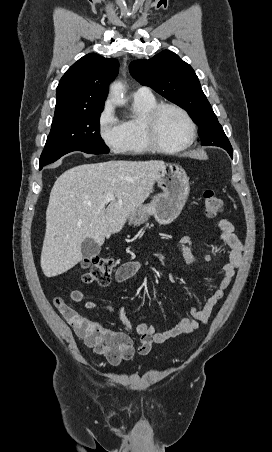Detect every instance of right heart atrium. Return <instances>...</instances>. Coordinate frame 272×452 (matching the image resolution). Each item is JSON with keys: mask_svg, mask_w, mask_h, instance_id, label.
<instances>
[{"mask_svg": "<svg viewBox=\"0 0 272 452\" xmlns=\"http://www.w3.org/2000/svg\"><path fill=\"white\" fill-rule=\"evenodd\" d=\"M99 137L114 152H120L124 145V133L121 122L117 119L110 102H107L97 120Z\"/></svg>", "mask_w": 272, "mask_h": 452, "instance_id": "1", "label": "right heart atrium"}]
</instances>
